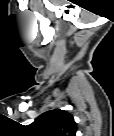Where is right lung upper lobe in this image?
I'll list each match as a JSON object with an SVG mask.
<instances>
[{
	"label": "right lung upper lobe",
	"instance_id": "cb5924a9",
	"mask_svg": "<svg viewBox=\"0 0 114 136\" xmlns=\"http://www.w3.org/2000/svg\"><path fill=\"white\" fill-rule=\"evenodd\" d=\"M34 136H76V122L67 111L54 109L41 114L29 125Z\"/></svg>",
	"mask_w": 114,
	"mask_h": 136
}]
</instances>
